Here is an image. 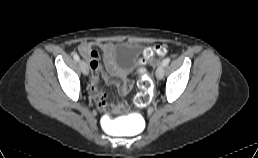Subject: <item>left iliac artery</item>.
Wrapping results in <instances>:
<instances>
[{
	"label": "left iliac artery",
	"mask_w": 258,
	"mask_h": 158,
	"mask_svg": "<svg viewBox=\"0 0 258 158\" xmlns=\"http://www.w3.org/2000/svg\"><path fill=\"white\" fill-rule=\"evenodd\" d=\"M170 60H171L170 57H167L166 59H164V61H163L162 64H163L164 66H167V65L169 64Z\"/></svg>",
	"instance_id": "44dca946"
}]
</instances>
